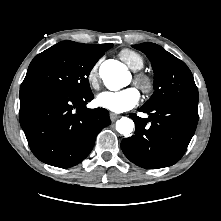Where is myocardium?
<instances>
[{"label":"myocardium","mask_w":221,"mask_h":221,"mask_svg":"<svg viewBox=\"0 0 221 221\" xmlns=\"http://www.w3.org/2000/svg\"><path fill=\"white\" fill-rule=\"evenodd\" d=\"M134 83L144 94H150L155 88V80L151 74L138 72L134 75Z\"/></svg>","instance_id":"obj_1"}]
</instances>
